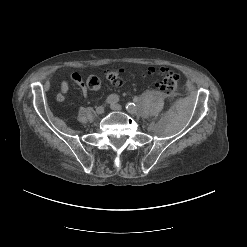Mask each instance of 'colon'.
I'll return each mask as SVG.
<instances>
[{
  "mask_svg": "<svg viewBox=\"0 0 247 247\" xmlns=\"http://www.w3.org/2000/svg\"><path fill=\"white\" fill-rule=\"evenodd\" d=\"M147 74H160L161 80L158 82V89L166 95H173L178 87L180 76L178 73L166 67H150L146 70ZM107 80L117 85L120 82L119 75L115 71H110L106 74ZM87 87L96 91L100 87V79L96 75H91L87 79Z\"/></svg>",
  "mask_w": 247,
  "mask_h": 247,
  "instance_id": "5ec220e1",
  "label": "colon"
}]
</instances>
